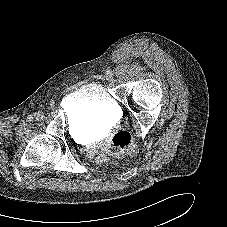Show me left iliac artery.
Wrapping results in <instances>:
<instances>
[{"instance_id": "44dca946", "label": "left iliac artery", "mask_w": 227, "mask_h": 227, "mask_svg": "<svg viewBox=\"0 0 227 227\" xmlns=\"http://www.w3.org/2000/svg\"><path fill=\"white\" fill-rule=\"evenodd\" d=\"M107 75H108L109 77H112V76H113V72H112L111 70H108V71H107Z\"/></svg>"}]
</instances>
